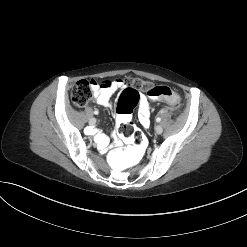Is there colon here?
Segmentation results:
<instances>
[{"label":"colon","mask_w":247,"mask_h":247,"mask_svg":"<svg viewBox=\"0 0 247 247\" xmlns=\"http://www.w3.org/2000/svg\"><path fill=\"white\" fill-rule=\"evenodd\" d=\"M126 84L128 87L119 96L116 113L117 133L128 144L122 149H110L104 155L105 164L114 171H125L140 163L146 155L148 140L131 121L132 111L139 102V91H147L154 100H165L170 104L178 101L177 95L164 85H152L139 78L130 79ZM93 85L94 82L89 80H80L75 84L71 97L76 106L83 107L90 101Z\"/></svg>","instance_id":"1"}]
</instances>
